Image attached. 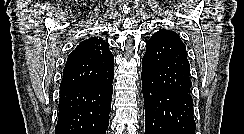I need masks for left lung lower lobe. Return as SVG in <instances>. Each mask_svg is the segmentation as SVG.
<instances>
[{
  "label": "left lung lower lobe",
  "mask_w": 244,
  "mask_h": 134,
  "mask_svg": "<svg viewBox=\"0 0 244 134\" xmlns=\"http://www.w3.org/2000/svg\"><path fill=\"white\" fill-rule=\"evenodd\" d=\"M145 134H195L190 90L165 88L142 70Z\"/></svg>",
  "instance_id": "obj_1"
}]
</instances>
